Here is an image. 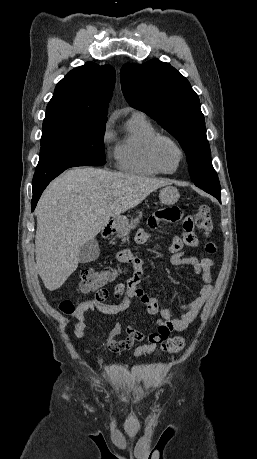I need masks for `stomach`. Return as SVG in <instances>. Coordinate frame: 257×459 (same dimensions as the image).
<instances>
[{
    "mask_svg": "<svg viewBox=\"0 0 257 459\" xmlns=\"http://www.w3.org/2000/svg\"><path fill=\"white\" fill-rule=\"evenodd\" d=\"M179 192L174 186H165L159 192L160 201L166 205H172L179 199ZM128 225V220L124 216H118L114 219L112 231L122 232Z\"/></svg>",
    "mask_w": 257,
    "mask_h": 459,
    "instance_id": "stomach-1",
    "label": "stomach"
}]
</instances>
